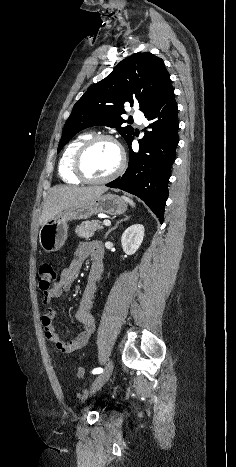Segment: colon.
<instances>
[{"mask_svg": "<svg viewBox=\"0 0 236 467\" xmlns=\"http://www.w3.org/2000/svg\"><path fill=\"white\" fill-rule=\"evenodd\" d=\"M57 280V272L53 265L51 264H43L39 268V287L40 289L47 293L51 291L55 285ZM85 375L84 369L79 367L77 369V376L80 379H83Z\"/></svg>", "mask_w": 236, "mask_h": 467, "instance_id": "5ec220e1", "label": "colon"}]
</instances>
